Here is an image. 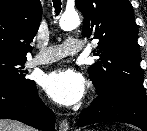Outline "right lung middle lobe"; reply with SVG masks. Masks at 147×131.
Returning a JSON list of instances; mask_svg holds the SVG:
<instances>
[{
  "label": "right lung middle lobe",
  "mask_w": 147,
  "mask_h": 131,
  "mask_svg": "<svg viewBox=\"0 0 147 131\" xmlns=\"http://www.w3.org/2000/svg\"><path fill=\"white\" fill-rule=\"evenodd\" d=\"M27 59L0 57V85L19 86L27 85L32 80L27 79L24 63Z\"/></svg>",
  "instance_id": "dd1d6c3e"
}]
</instances>
